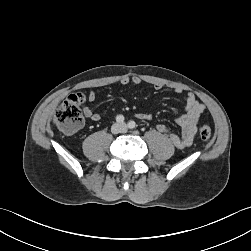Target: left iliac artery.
Returning <instances> with one entry per match:
<instances>
[{
    "label": "left iliac artery",
    "instance_id": "1",
    "mask_svg": "<svg viewBox=\"0 0 251 251\" xmlns=\"http://www.w3.org/2000/svg\"><path fill=\"white\" fill-rule=\"evenodd\" d=\"M135 126H136V123L134 122V121H129L128 122V127L130 128V129H133V128H135Z\"/></svg>",
    "mask_w": 251,
    "mask_h": 251
}]
</instances>
